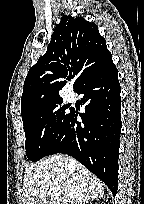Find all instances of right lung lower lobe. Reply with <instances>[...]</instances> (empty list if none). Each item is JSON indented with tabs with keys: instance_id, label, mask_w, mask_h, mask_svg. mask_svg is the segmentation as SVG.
Segmentation results:
<instances>
[{
	"instance_id": "right-lung-lower-lobe-1",
	"label": "right lung lower lobe",
	"mask_w": 144,
	"mask_h": 204,
	"mask_svg": "<svg viewBox=\"0 0 144 204\" xmlns=\"http://www.w3.org/2000/svg\"><path fill=\"white\" fill-rule=\"evenodd\" d=\"M83 94L85 113L71 111L47 155L68 154L77 159L111 190L118 188L121 102L118 71L112 59L91 74L76 90Z\"/></svg>"
}]
</instances>
